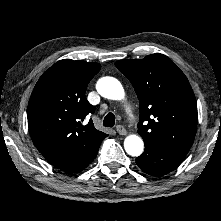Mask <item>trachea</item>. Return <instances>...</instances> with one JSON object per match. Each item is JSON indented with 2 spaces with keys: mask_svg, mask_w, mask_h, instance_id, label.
<instances>
[{
  "mask_svg": "<svg viewBox=\"0 0 221 221\" xmlns=\"http://www.w3.org/2000/svg\"><path fill=\"white\" fill-rule=\"evenodd\" d=\"M115 124V115L113 113H108L103 121V125L106 127H113Z\"/></svg>",
  "mask_w": 221,
  "mask_h": 221,
  "instance_id": "3493384b",
  "label": "trachea"
}]
</instances>
